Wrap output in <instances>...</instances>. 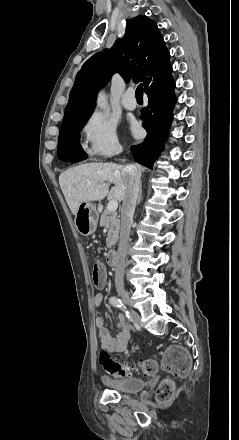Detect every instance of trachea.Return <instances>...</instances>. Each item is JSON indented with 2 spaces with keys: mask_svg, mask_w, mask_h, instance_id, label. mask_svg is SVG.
I'll list each match as a JSON object with an SVG mask.
<instances>
[{
  "mask_svg": "<svg viewBox=\"0 0 239 440\" xmlns=\"http://www.w3.org/2000/svg\"><path fill=\"white\" fill-rule=\"evenodd\" d=\"M136 99H143V85L140 83L135 91Z\"/></svg>",
  "mask_w": 239,
  "mask_h": 440,
  "instance_id": "3493384b",
  "label": "trachea"
}]
</instances>
